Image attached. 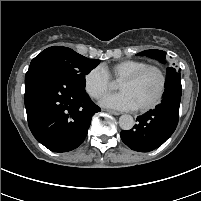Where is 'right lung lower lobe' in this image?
<instances>
[{"mask_svg":"<svg viewBox=\"0 0 201 201\" xmlns=\"http://www.w3.org/2000/svg\"><path fill=\"white\" fill-rule=\"evenodd\" d=\"M24 102L33 136L53 152L77 148L100 111L72 76L47 65L29 68Z\"/></svg>","mask_w":201,"mask_h":201,"instance_id":"right-lung-lower-lobe-1","label":"right lung lower lobe"}]
</instances>
